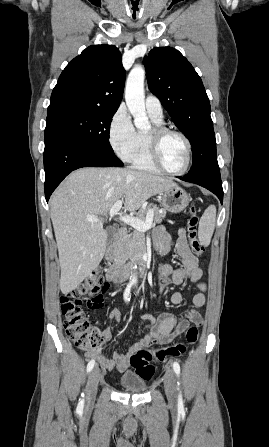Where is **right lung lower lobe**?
<instances>
[{"instance_id":"98d812e1","label":"right lung lower lobe","mask_w":269,"mask_h":447,"mask_svg":"<svg viewBox=\"0 0 269 447\" xmlns=\"http://www.w3.org/2000/svg\"><path fill=\"white\" fill-rule=\"evenodd\" d=\"M110 166H123L114 152L96 147L64 131L46 127L44 151L46 201L73 170L82 167Z\"/></svg>"}]
</instances>
